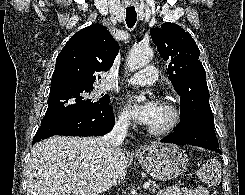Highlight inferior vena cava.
Masks as SVG:
<instances>
[{
  "label": "inferior vena cava",
  "mask_w": 245,
  "mask_h": 195,
  "mask_svg": "<svg viewBox=\"0 0 245 195\" xmlns=\"http://www.w3.org/2000/svg\"><path fill=\"white\" fill-rule=\"evenodd\" d=\"M128 125V118L122 116L116 121L113 129L107 135L104 136V141L109 144L112 151L119 148L122 145L127 135Z\"/></svg>",
  "instance_id": "602c4592"
}]
</instances>
